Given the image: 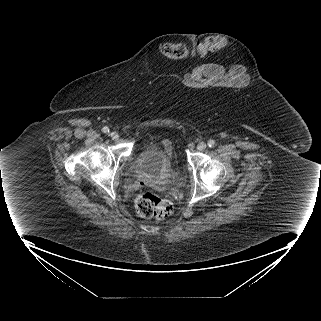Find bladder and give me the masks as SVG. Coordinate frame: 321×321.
<instances>
[{
  "instance_id": "1",
  "label": "bladder",
  "mask_w": 321,
  "mask_h": 321,
  "mask_svg": "<svg viewBox=\"0 0 321 321\" xmlns=\"http://www.w3.org/2000/svg\"><path fill=\"white\" fill-rule=\"evenodd\" d=\"M176 168L161 144L149 142L132 162L134 175L148 180H156L168 175Z\"/></svg>"
}]
</instances>
